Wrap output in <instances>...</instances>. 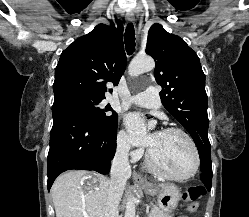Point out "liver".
Returning a JSON list of instances; mask_svg holds the SVG:
<instances>
[{"mask_svg":"<svg viewBox=\"0 0 249 217\" xmlns=\"http://www.w3.org/2000/svg\"><path fill=\"white\" fill-rule=\"evenodd\" d=\"M86 180L91 181L84 186ZM109 183L105 176L84 170L60 175L51 188L56 217H106Z\"/></svg>","mask_w":249,"mask_h":217,"instance_id":"6515ba94","label":"liver"}]
</instances>
